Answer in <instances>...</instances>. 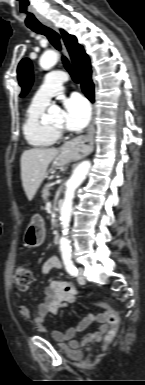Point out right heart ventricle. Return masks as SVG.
<instances>
[{
	"label": "right heart ventricle",
	"instance_id": "obj_1",
	"mask_svg": "<svg viewBox=\"0 0 145 385\" xmlns=\"http://www.w3.org/2000/svg\"><path fill=\"white\" fill-rule=\"evenodd\" d=\"M46 107L47 105L32 101L25 112L22 124V132L26 141L36 148L52 146L59 138L58 133L44 121Z\"/></svg>",
	"mask_w": 145,
	"mask_h": 385
}]
</instances>
